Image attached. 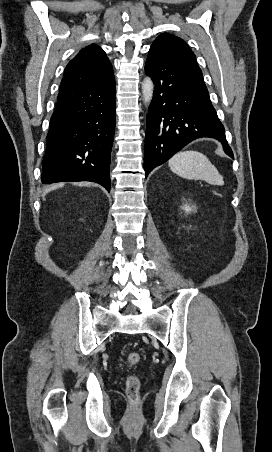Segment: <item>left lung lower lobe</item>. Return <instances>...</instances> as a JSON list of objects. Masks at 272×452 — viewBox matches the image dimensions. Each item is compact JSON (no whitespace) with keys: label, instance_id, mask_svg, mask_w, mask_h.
I'll list each match as a JSON object with an SVG mask.
<instances>
[{"label":"left lung lower lobe","instance_id":"left-lung-lower-lobe-1","mask_svg":"<svg viewBox=\"0 0 272 452\" xmlns=\"http://www.w3.org/2000/svg\"><path fill=\"white\" fill-rule=\"evenodd\" d=\"M145 72L155 85L147 115L146 176L196 138L219 140L234 158L200 69L165 50L150 48Z\"/></svg>","mask_w":272,"mask_h":452}]
</instances>
